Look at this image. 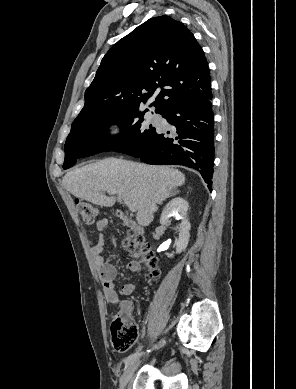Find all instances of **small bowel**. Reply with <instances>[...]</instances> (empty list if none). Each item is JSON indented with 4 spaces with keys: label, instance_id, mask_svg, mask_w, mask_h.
Masks as SVG:
<instances>
[{
    "label": "small bowel",
    "instance_id": "obj_1",
    "mask_svg": "<svg viewBox=\"0 0 296 389\" xmlns=\"http://www.w3.org/2000/svg\"><path fill=\"white\" fill-rule=\"evenodd\" d=\"M108 223L106 220L102 219L97 223V229L100 232H104L107 230ZM105 247V238L102 234H99L97 240L93 247L91 248V253L93 257V261L98 268L100 279L102 282L103 294L106 300L116 305L118 312L120 313H129L132 310L133 304L129 300H120L119 294L115 289V277H116V269L105 260L102 253ZM128 269L133 274H139L141 271L140 263L137 261H131L128 264ZM135 283L128 282L122 285L120 289V294L124 296L131 295L135 290Z\"/></svg>",
    "mask_w": 296,
    "mask_h": 389
}]
</instances>
